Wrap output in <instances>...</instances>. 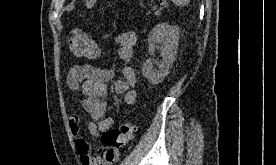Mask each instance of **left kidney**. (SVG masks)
<instances>
[{
    "instance_id": "obj_1",
    "label": "left kidney",
    "mask_w": 276,
    "mask_h": 165,
    "mask_svg": "<svg viewBox=\"0 0 276 165\" xmlns=\"http://www.w3.org/2000/svg\"><path fill=\"white\" fill-rule=\"evenodd\" d=\"M179 27L167 23L157 24L148 35L149 52L153 53L157 44H161L162 63L159 70L153 69V62L149 58L142 66V74L151 84H158L169 74L178 48Z\"/></svg>"
}]
</instances>
